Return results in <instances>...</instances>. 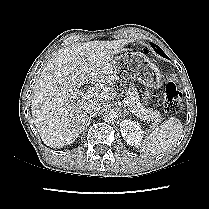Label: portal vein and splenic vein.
Returning a JSON list of instances; mask_svg holds the SVG:
<instances>
[{
    "label": "portal vein and splenic vein",
    "mask_w": 209,
    "mask_h": 209,
    "mask_svg": "<svg viewBox=\"0 0 209 209\" xmlns=\"http://www.w3.org/2000/svg\"><path fill=\"white\" fill-rule=\"evenodd\" d=\"M94 95H95L94 92L92 90H89L82 95V98L84 100H88V99L94 97ZM124 103L127 105L128 101L124 100Z\"/></svg>",
    "instance_id": "portal-vein-and-splenic-vein-1"
}]
</instances>
